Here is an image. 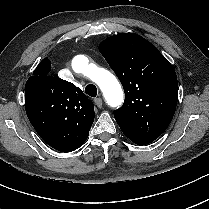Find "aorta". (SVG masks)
I'll return each mask as SVG.
<instances>
[{"mask_svg": "<svg viewBox=\"0 0 209 209\" xmlns=\"http://www.w3.org/2000/svg\"><path fill=\"white\" fill-rule=\"evenodd\" d=\"M72 68L94 81L104 93L108 103L117 105L122 100V89L117 78L108 70L90 64L84 55H77L72 60Z\"/></svg>", "mask_w": 209, "mask_h": 209, "instance_id": "aorta-1", "label": "aorta"}]
</instances>
